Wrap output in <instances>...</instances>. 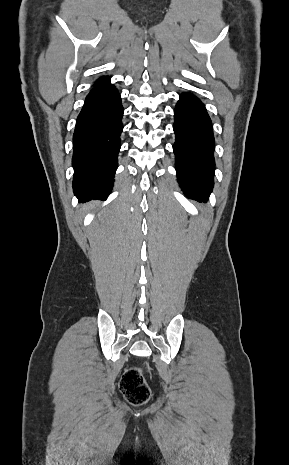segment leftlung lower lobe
<instances>
[{"mask_svg":"<svg viewBox=\"0 0 289 465\" xmlns=\"http://www.w3.org/2000/svg\"><path fill=\"white\" fill-rule=\"evenodd\" d=\"M176 171L182 190L206 201L214 185V136L212 123L202 102L183 93L174 110Z\"/></svg>","mask_w":289,"mask_h":465,"instance_id":"obj_1","label":"left lung lower lobe"}]
</instances>
